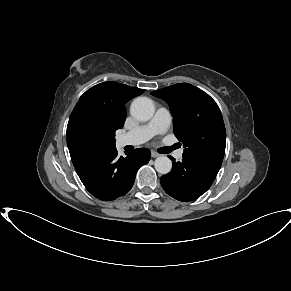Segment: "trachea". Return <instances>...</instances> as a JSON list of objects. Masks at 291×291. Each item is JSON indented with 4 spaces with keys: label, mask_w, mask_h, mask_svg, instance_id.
I'll return each mask as SVG.
<instances>
[{
    "label": "trachea",
    "mask_w": 291,
    "mask_h": 291,
    "mask_svg": "<svg viewBox=\"0 0 291 291\" xmlns=\"http://www.w3.org/2000/svg\"><path fill=\"white\" fill-rule=\"evenodd\" d=\"M172 149H175V146H173V147H164V148H161V149L159 150V152L165 154V153L170 152Z\"/></svg>",
    "instance_id": "trachea-1"
}]
</instances>
